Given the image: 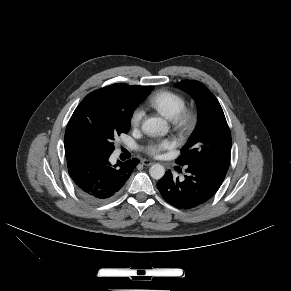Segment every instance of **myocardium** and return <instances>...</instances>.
Wrapping results in <instances>:
<instances>
[{"label": "myocardium", "mask_w": 291, "mask_h": 291, "mask_svg": "<svg viewBox=\"0 0 291 291\" xmlns=\"http://www.w3.org/2000/svg\"><path fill=\"white\" fill-rule=\"evenodd\" d=\"M173 123L182 134H189L196 123V114L193 110L184 108L173 119Z\"/></svg>", "instance_id": "obj_1"}]
</instances>
